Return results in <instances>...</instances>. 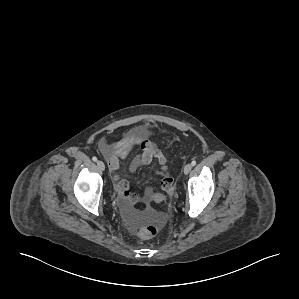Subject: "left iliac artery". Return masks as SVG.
I'll list each match as a JSON object with an SVG mask.
<instances>
[{
    "mask_svg": "<svg viewBox=\"0 0 299 299\" xmlns=\"http://www.w3.org/2000/svg\"><path fill=\"white\" fill-rule=\"evenodd\" d=\"M191 164H192V166H195V165H196V161L193 160V161L191 162Z\"/></svg>",
    "mask_w": 299,
    "mask_h": 299,
    "instance_id": "1",
    "label": "left iliac artery"
}]
</instances>
